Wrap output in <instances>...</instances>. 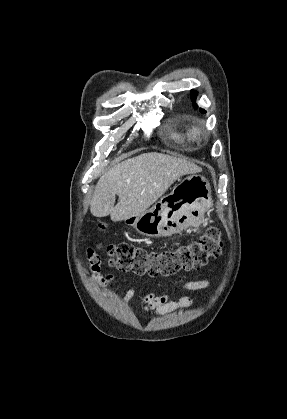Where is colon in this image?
<instances>
[{
  "instance_id": "5ec220e1",
  "label": "colon",
  "mask_w": 287,
  "mask_h": 419,
  "mask_svg": "<svg viewBox=\"0 0 287 419\" xmlns=\"http://www.w3.org/2000/svg\"><path fill=\"white\" fill-rule=\"evenodd\" d=\"M104 230L105 224H100ZM222 239L217 227H209L195 242L175 250L153 251L127 243L106 248L110 265L137 275L171 276L181 271L198 270L209 259L219 256Z\"/></svg>"
}]
</instances>
